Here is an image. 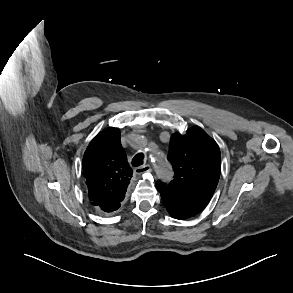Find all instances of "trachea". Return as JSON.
I'll return each instance as SVG.
<instances>
[{
    "mask_svg": "<svg viewBox=\"0 0 293 293\" xmlns=\"http://www.w3.org/2000/svg\"><path fill=\"white\" fill-rule=\"evenodd\" d=\"M144 155L142 153H138L132 159V165L135 167L141 166L143 164Z\"/></svg>",
    "mask_w": 293,
    "mask_h": 293,
    "instance_id": "3493384b",
    "label": "trachea"
}]
</instances>
